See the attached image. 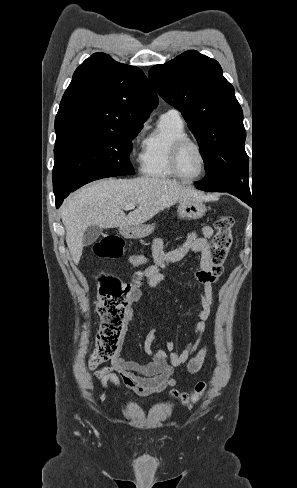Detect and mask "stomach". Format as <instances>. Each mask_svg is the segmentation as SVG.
I'll return each instance as SVG.
<instances>
[{"label": "stomach", "instance_id": "stomach-1", "mask_svg": "<svg viewBox=\"0 0 297 488\" xmlns=\"http://www.w3.org/2000/svg\"><path fill=\"white\" fill-rule=\"evenodd\" d=\"M206 211V205L197 199L182 200L178 206V216L182 219H199L205 215ZM154 229L155 227L149 224L127 226L120 228V234L124 238H144L149 236Z\"/></svg>", "mask_w": 297, "mask_h": 488}]
</instances>
